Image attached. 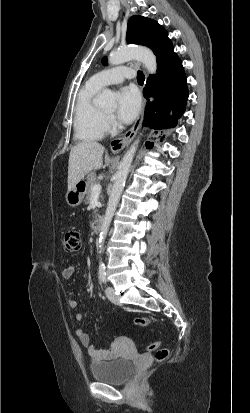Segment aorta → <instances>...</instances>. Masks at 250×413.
Here are the masks:
<instances>
[{
  "label": "aorta",
  "mask_w": 250,
  "mask_h": 413,
  "mask_svg": "<svg viewBox=\"0 0 250 413\" xmlns=\"http://www.w3.org/2000/svg\"><path fill=\"white\" fill-rule=\"evenodd\" d=\"M131 59L138 60L143 63L145 68L150 74L156 73L157 62L154 53L145 47H133V48H123L118 51L112 52L109 55L108 62L111 65H119L125 63ZM116 94L109 90L105 89L100 98L99 104L102 107H114L115 105ZM139 143V139L131 146V148L123 156L122 161L120 162L119 170L116 174V179L112 187L107 209L103 218L102 226L99 234V249L100 252L103 249L104 241L108 233V229L113 218L114 212L116 210L117 204L119 202L122 190L125 186V182L128 176V172L133 161V156L136 151V146Z\"/></svg>",
  "instance_id": "aorta-1"
}]
</instances>
